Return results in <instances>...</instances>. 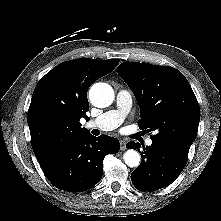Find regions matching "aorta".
<instances>
[{"mask_svg":"<svg viewBox=\"0 0 221 221\" xmlns=\"http://www.w3.org/2000/svg\"><path fill=\"white\" fill-rule=\"evenodd\" d=\"M89 99L94 106L104 108L113 102L114 91L106 83H96L89 90ZM140 158V154L133 149L127 150L123 156L125 164L131 168L139 166Z\"/></svg>","mask_w":221,"mask_h":221,"instance_id":"762f6f07","label":"aorta"}]
</instances>
